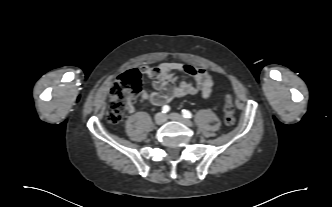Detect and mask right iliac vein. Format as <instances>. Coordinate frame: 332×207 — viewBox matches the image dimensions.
Here are the masks:
<instances>
[{"label": "right iliac vein", "mask_w": 332, "mask_h": 207, "mask_svg": "<svg viewBox=\"0 0 332 207\" xmlns=\"http://www.w3.org/2000/svg\"><path fill=\"white\" fill-rule=\"evenodd\" d=\"M154 120L157 125H162L166 121V116L160 112L155 115Z\"/></svg>", "instance_id": "1"}]
</instances>
